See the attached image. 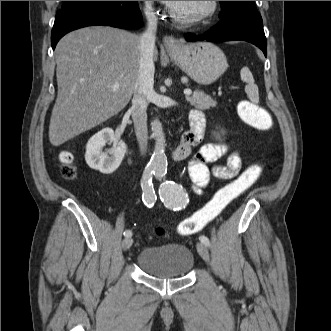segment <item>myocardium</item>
Listing matches in <instances>:
<instances>
[{
  "instance_id": "myocardium-1",
  "label": "myocardium",
  "mask_w": 331,
  "mask_h": 331,
  "mask_svg": "<svg viewBox=\"0 0 331 331\" xmlns=\"http://www.w3.org/2000/svg\"><path fill=\"white\" fill-rule=\"evenodd\" d=\"M217 3L218 1H207L206 7L202 11L191 16L180 15L176 13L172 7L169 8L168 12L172 19L178 23L183 25H195L213 16L217 10Z\"/></svg>"
}]
</instances>
